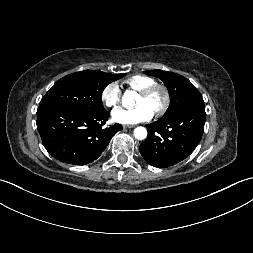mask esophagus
Wrapping results in <instances>:
<instances>
[{
  "label": "esophagus",
  "instance_id": "1",
  "mask_svg": "<svg viewBox=\"0 0 253 253\" xmlns=\"http://www.w3.org/2000/svg\"><path fill=\"white\" fill-rule=\"evenodd\" d=\"M135 125H123L124 129H130V128H134Z\"/></svg>",
  "mask_w": 253,
  "mask_h": 253
}]
</instances>
